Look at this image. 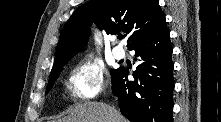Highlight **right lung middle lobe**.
Masks as SVG:
<instances>
[{
  "instance_id": "1",
  "label": "right lung middle lobe",
  "mask_w": 221,
  "mask_h": 122,
  "mask_svg": "<svg viewBox=\"0 0 221 122\" xmlns=\"http://www.w3.org/2000/svg\"><path fill=\"white\" fill-rule=\"evenodd\" d=\"M116 71H117V69H111L110 70L111 76H113L116 73ZM59 74H60V70L55 72V73L50 74V78H49L46 93L52 88L53 83L58 78Z\"/></svg>"
}]
</instances>
